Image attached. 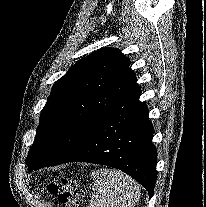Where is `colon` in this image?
<instances>
[{
    "mask_svg": "<svg viewBox=\"0 0 206 207\" xmlns=\"http://www.w3.org/2000/svg\"><path fill=\"white\" fill-rule=\"evenodd\" d=\"M49 192L58 198L62 207H79L83 197V193L72 178L54 180L49 185Z\"/></svg>",
    "mask_w": 206,
    "mask_h": 207,
    "instance_id": "5ec220e1",
    "label": "colon"
}]
</instances>
